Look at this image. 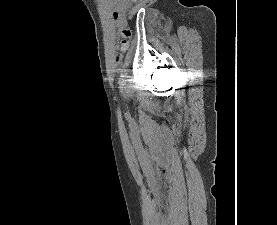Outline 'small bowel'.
I'll list each match as a JSON object with an SVG mask.
<instances>
[{"label": "small bowel", "instance_id": "obj_1", "mask_svg": "<svg viewBox=\"0 0 277 225\" xmlns=\"http://www.w3.org/2000/svg\"><path fill=\"white\" fill-rule=\"evenodd\" d=\"M120 16H121L120 11L114 12V14H113V18H114V19H119Z\"/></svg>", "mask_w": 277, "mask_h": 225}]
</instances>
